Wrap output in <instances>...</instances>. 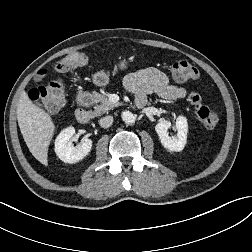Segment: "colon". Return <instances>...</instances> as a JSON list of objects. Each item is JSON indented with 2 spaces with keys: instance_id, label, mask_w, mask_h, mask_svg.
Listing matches in <instances>:
<instances>
[{
  "instance_id": "5ec220e1",
  "label": "colon",
  "mask_w": 252,
  "mask_h": 252,
  "mask_svg": "<svg viewBox=\"0 0 252 252\" xmlns=\"http://www.w3.org/2000/svg\"><path fill=\"white\" fill-rule=\"evenodd\" d=\"M87 62L86 54L75 52L55 61L54 66L60 71H67L72 68L83 67ZM171 76L178 82H186L196 79L198 70L188 61L177 60L171 67ZM29 97L33 102L47 110H56L64 103V85L60 80H53L46 86L32 88L29 92ZM188 100L195 107L197 118L204 127L212 128L216 126L219 121V113L213 108L204 105L198 92H191Z\"/></svg>"
}]
</instances>
